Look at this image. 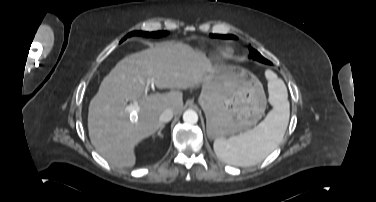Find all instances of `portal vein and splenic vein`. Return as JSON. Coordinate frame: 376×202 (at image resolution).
Here are the masks:
<instances>
[{
	"label": "portal vein and splenic vein",
	"instance_id": "1",
	"mask_svg": "<svg viewBox=\"0 0 376 202\" xmlns=\"http://www.w3.org/2000/svg\"><path fill=\"white\" fill-rule=\"evenodd\" d=\"M151 83L153 84V80L151 81ZM149 84H150V82L147 83V87H146V89H145V95H147ZM128 110H129L130 112H134V111H135V106H134L133 104H130V105L128 106Z\"/></svg>",
	"mask_w": 376,
	"mask_h": 202
}]
</instances>
